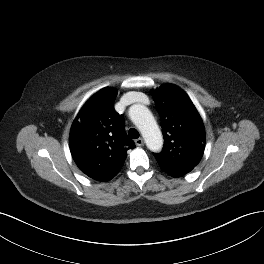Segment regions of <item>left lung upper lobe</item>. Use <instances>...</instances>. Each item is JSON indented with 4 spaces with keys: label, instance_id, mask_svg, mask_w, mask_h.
<instances>
[{
    "label": "left lung upper lobe",
    "instance_id": "5c2ea615",
    "mask_svg": "<svg viewBox=\"0 0 264 264\" xmlns=\"http://www.w3.org/2000/svg\"><path fill=\"white\" fill-rule=\"evenodd\" d=\"M164 136L162 152L154 156L165 172H190L201 160L205 148L202 119L184 91L165 84L153 92Z\"/></svg>",
    "mask_w": 264,
    "mask_h": 264
}]
</instances>
